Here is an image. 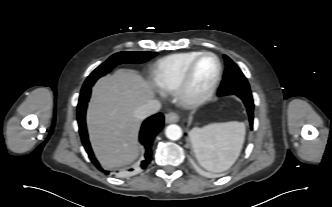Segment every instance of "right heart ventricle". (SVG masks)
Wrapping results in <instances>:
<instances>
[{
	"label": "right heart ventricle",
	"instance_id": "1",
	"mask_svg": "<svg viewBox=\"0 0 332 207\" xmlns=\"http://www.w3.org/2000/svg\"><path fill=\"white\" fill-rule=\"evenodd\" d=\"M201 53L200 51L182 52L158 60L152 70V79L156 87L163 92L175 91L188 65Z\"/></svg>",
	"mask_w": 332,
	"mask_h": 207
}]
</instances>
